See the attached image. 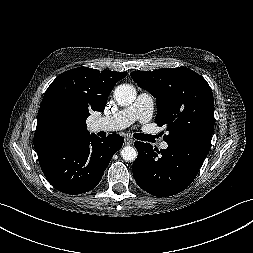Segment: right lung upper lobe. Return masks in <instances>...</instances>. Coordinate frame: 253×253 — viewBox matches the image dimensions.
Returning <instances> with one entry per match:
<instances>
[{
    "instance_id": "obj_1",
    "label": "right lung upper lobe",
    "mask_w": 253,
    "mask_h": 253,
    "mask_svg": "<svg viewBox=\"0 0 253 253\" xmlns=\"http://www.w3.org/2000/svg\"><path fill=\"white\" fill-rule=\"evenodd\" d=\"M126 75V72L78 67L55 78L46 90L38 112L35 149L55 140L90 136L87 117L92 110L104 111L114 85Z\"/></svg>"
}]
</instances>
